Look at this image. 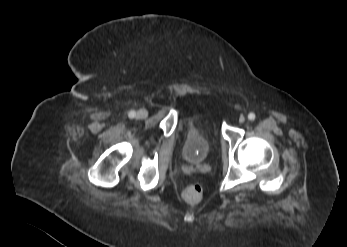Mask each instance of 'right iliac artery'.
<instances>
[{"label": "right iliac artery", "mask_w": 347, "mask_h": 247, "mask_svg": "<svg viewBox=\"0 0 347 247\" xmlns=\"http://www.w3.org/2000/svg\"><path fill=\"white\" fill-rule=\"evenodd\" d=\"M129 118H134L136 116V112L134 110L129 111L128 113Z\"/></svg>", "instance_id": "obj_1"}]
</instances>
